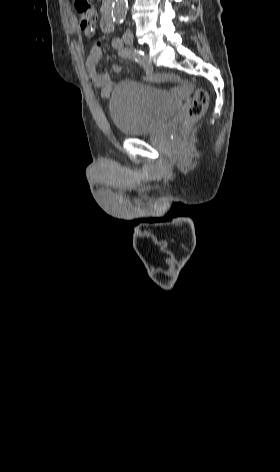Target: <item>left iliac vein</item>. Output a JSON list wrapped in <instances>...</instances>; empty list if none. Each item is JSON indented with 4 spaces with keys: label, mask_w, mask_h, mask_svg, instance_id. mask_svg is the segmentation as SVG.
I'll use <instances>...</instances> for the list:
<instances>
[{
    "label": "left iliac vein",
    "mask_w": 280,
    "mask_h": 472,
    "mask_svg": "<svg viewBox=\"0 0 280 472\" xmlns=\"http://www.w3.org/2000/svg\"><path fill=\"white\" fill-rule=\"evenodd\" d=\"M123 40L126 44L131 45L133 43V35L129 32H126L123 35Z\"/></svg>",
    "instance_id": "left-iliac-vein-1"
}]
</instances>
